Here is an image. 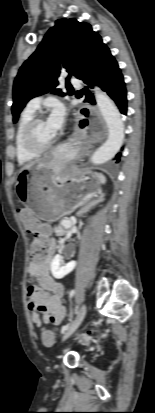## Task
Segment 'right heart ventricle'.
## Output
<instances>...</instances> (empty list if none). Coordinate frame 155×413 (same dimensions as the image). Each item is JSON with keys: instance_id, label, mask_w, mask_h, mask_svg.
I'll use <instances>...</instances> for the list:
<instances>
[{"instance_id": "e07e8e85", "label": "right heart ventricle", "mask_w": 155, "mask_h": 413, "mask_svg": "<svg viewBox=\"0 0 155 413\" xmlns=\"http://www.w3.org/2000/svg\"><path fill=\"white\" fill-rule=\"evenodd\" d=\"M35 111L26 108L20 116L15 133V153L19 164L33 161L37 155L30 153L24 146L23 133L26 125L34 117Z\"/></svg>"}]
</instances>
